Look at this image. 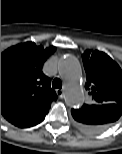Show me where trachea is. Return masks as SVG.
Listing matches in <instances>:
<instances>
[{"instance_id": "obj_1", "label": "trachea", "mask_w": 122, "mask_h": 154, "mask_svg": "<svg viewBox=\"0 0 122 154\" xmlns=\"http://www.w3.org/2000/svg\"><path fill=\"white\" fill-rule=\"evenodd\" d=\"M52 87L53 88H58L61 89L62 88V82L59 78H55L52 82Z\"/></svg>"}]
</instances>
